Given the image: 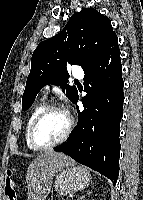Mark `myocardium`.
I'll return each mask as SVG.
<instances>
[{"label": "myocardium", "mask_w": 143, "mask_h": 200, "mask_svg": "<svg viewBox=\"0 0 143 200\" xmlns=\"http://www.w3.org/2000/svg\"><path fill=\"white\" fill-rule=\"evenodd\" d=\"M63 111L67 114L68 116V126L64 134L56 141L49 143V144H41L37 141L36 139V130L38 125L41 123V121L52 111ZM74 127V120L73 117L68 113V111L60 104L52 103L46 105L43 110L36 116V118L33 120L30 129H29V140L31 145L36 148L37 150H46L53 148L57 145L62 144L65 142L68 137L70 136L72 130Z\"/></svg>", "instance_id": "f54148a6"}]
</instances>
